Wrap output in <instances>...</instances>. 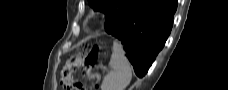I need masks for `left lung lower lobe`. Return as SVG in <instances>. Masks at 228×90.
Instances as JSON below:
<instances>
[{"mask_svg": "<svg viewBox=\"0 0 228 90\" xmlns=\"http://www.w3.org/2000/svg\"><path fill=\"white\" fill-rule=\"evenodd\" d=\"M177 0H130L106 31L125 47L135 73L143 77L170 34Z\"/></svg>", "mask_w": 228, "mask_h": 90, "instance_id": "left-lung-lower-lobe-1", "label": "left lung lower lobe"}]
</instances>
